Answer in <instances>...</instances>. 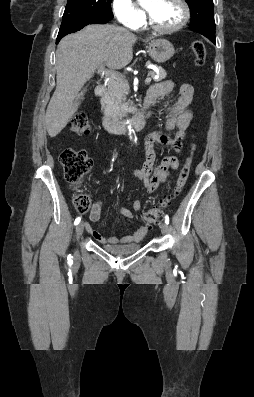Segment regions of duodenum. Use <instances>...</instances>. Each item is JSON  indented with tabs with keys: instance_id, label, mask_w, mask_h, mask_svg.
Listing matches in <instances>:
<instances>
[{
	"instance_id": "obj_1",
	"label": "duodenum",
	"mask_w": 254,
	"mask_h": 397,
	"mask_svg": "<svg viewBox=\"0 0 254 397\" xmlns=\"http://www.w3.org/2000/svg\"><path fill=\"white\" fill-rule=\"evenodd\" d=\"M95 94L98 98L104 100L107 94V88L104 85H99L95 90ZM149 104L150 101L146 99L144 106L132 115L130 124L133 129L141 130L145 127L147 121V109ZM102 125L107 131L115 134L125 133L128 130L129 126L126 120H118L112 118L105 112H103L102 114Z\"/></svg>"
}]
</instances>
